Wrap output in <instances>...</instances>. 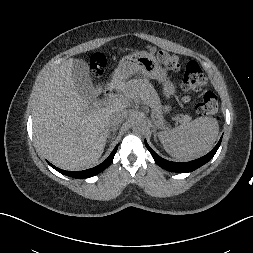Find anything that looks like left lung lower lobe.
Returning <instances> with one entry per match:
<instances>
[{"mask_svg": "<svg viewBox=\"0 0 253 253\" xmlns=\"http://www.w3.org/2000/svg\"><path fill=\"white\" fill-rule=\"evenodd\" d=\"M222 137L220 138L219 142L217 145L211 150L207 155L190 161V162H184V163H178V162H171L163 159L162 157L158 156L147 144L145 141V145L147 149L150 151L152 157L154 158L155 162L162 168L172 171V172H191L196 170L197 168L201 167L205 163H207L211 158L215 155L217 152L220 144H221Z\"/></svg>", "mask_w": 253, "mask_h": 253, "instance_id": "left-lung-lower-lobe-1", "label": "left lung lower lobe"}]
</instances>
